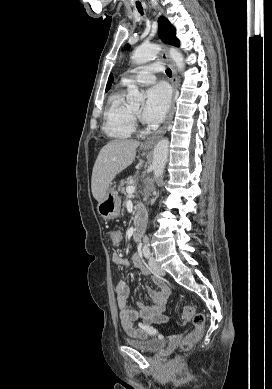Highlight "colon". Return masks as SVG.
<instances>
[{"label": "colon", "instance_id": "1", "mask_svg": "<svg viewBox=\"0 0 272 389\" xmlns=\"http://www.w3.org/2000/svg\"><path fill=\"white\" fill-rule=\"evenodd\" d=\"M109 237L113 245H119L122 241V234L118 230H111ZM182 316L186 321L192 320L194 325V329L186 334L181 344V349L188 351L201 339L205 328V317L201 313H195L194 308L189 305L182 308Z\"/></svg>", "mask_w": 272, "mask_h": 389}]
</instances>
